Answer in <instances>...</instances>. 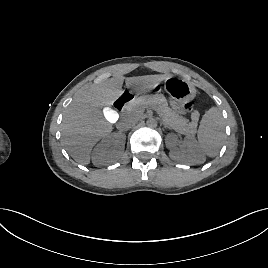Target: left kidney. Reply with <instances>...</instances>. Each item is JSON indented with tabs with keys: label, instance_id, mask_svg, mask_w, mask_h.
<instances>
[{
	"label": "left kidney",
	"instance_id": "left-kidney-1",
	"mask_svg": "<svg viewBox=\"0 0 268 268\" xmlns=\"http://www.w3.org/2000/svg\"><path fill=\"white\" fill-rule=\"evenodd\" d=\"M179 143L180 141L175 134H167L166 146L170 150L171 159L190 165L201 164L205 161V156L193 137L186 136L181 147L178 146Z\"/></svg>",
	"mask_w": 268,
	"mask_h": 268
}]
</instances>
